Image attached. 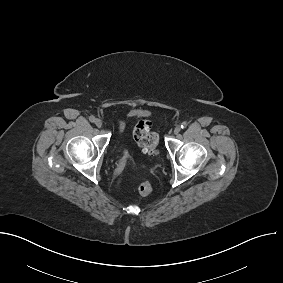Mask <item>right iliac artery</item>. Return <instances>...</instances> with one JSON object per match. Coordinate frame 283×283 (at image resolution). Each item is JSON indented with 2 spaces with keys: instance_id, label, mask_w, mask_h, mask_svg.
<instances>
[{
  "instance_id": "obj_1",
  "label": "right iliac artery",
  "mask_w": 283,
  "mask_h": 283,
  "mask_svg": "<svg viewBox=\"0 0 283 283\" xmlns=\"http://www.w3.org/2000/svg\"><path fill=\"white\" fill-rule=\"evenodd\" d=\"M89 120H90V122H95L96 119H95L94 116H90V117H89Z\"/></svg>"
}]
</instances>
